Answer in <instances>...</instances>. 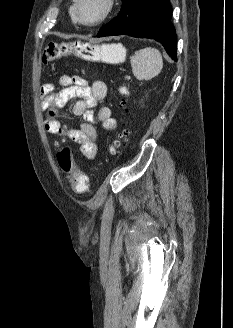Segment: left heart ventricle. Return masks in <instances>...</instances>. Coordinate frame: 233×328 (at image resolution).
Here are the masks:
<instances>
[{"label": "left heart ventricle", "mask_w": 233, "mask_h": 328, "mask_svg": "<svg viewBox=\"0 0 233 328\" xmlns=\"http://www.w3.org/2000/svg\"><path fill=\"white\" fill-rule=\"evenodd\" d=\"M105 8L104 0H80V13L85 21L96 20Z\"/></svg>", "instance_id": "1"}]
</instances>
